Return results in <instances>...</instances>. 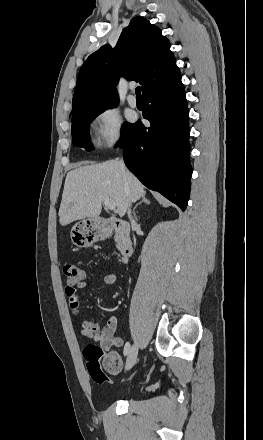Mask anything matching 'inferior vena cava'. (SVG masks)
I'll return each mask as SVG.
<instances>
[{"mask_svg": "<svg viewBox=\"0 0 263 440\" xmlns=\"http://www.w3.org/2000/svg\"><path fill=\"white\" fill-rule=\"evenodd\" d=\"M119 164H120L121 170L123 171L124 175H126L127 170H126L124 161L120 160ZM131 202H132V197L130 195H128V197H127V211H128V217H129L130 220H132L131 209H130Z\"/></svg>", "mask_w": 263, "mask_h": 440, "instance_id": "obj_1", "label": "inferior vena cava"}]
</instances>
